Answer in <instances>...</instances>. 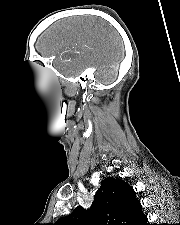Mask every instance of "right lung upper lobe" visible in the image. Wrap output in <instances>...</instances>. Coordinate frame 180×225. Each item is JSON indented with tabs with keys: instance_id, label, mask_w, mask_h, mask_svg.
I'll use <instances>...</instances> for the list:
<instances>
[{
	"instance_id": "cb5924a9",
	"label": "right lung upper lobe",
	"mask_w": 180,
	"mask_h": 225,
	"mask_svg": "<svg viewBox=\"0 0 180 225\" xmlns=\"http://www.w3.org/2000/svg\"><path fill=\"white\" fill-rule=\"evenodd\" d=\"M145 217L133 188L122 180L106 178L90 209L78 206L52 225H140Z\"/></svg>"
}]
</instances>
